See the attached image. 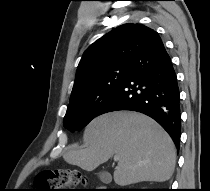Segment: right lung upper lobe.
I'll use <instances>...</instances> for the list:
<instances>
[{"label":"right lung upper lobe","mask_w":210,"mask_h":191,"mask_svg":"<svg viewBox=\"0 0 210 191\" xmlns=\"http://www.w3.org/2000/svg\"><path fill=\"white\" fill-rule=\"evenodd\" d=\"M156 34L142 24L128 23L102 36L84 52L71 96L84 89L100 71L115 64H130Z\"/></svg>","instance_id":"obj_1"}]
</instances>
